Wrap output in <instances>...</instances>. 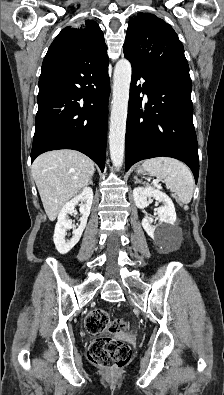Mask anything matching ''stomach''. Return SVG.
<instances>
[{
  "label": "stomach",
  "mask_w": 224,
  "mask_h": 395,
  "mask_svg": "<svg viewBox=\"0 0 224 395\" xmlns=\"http://www.w3.org/2000/svg\"><path fill=\"white\" fill-rule=\"evenodd\" d=\"M136 172H137L138 174H144L145 170H144L142 167H138L137 170H136Z\"/></svg>",
  "instance_id": "0dacf381"
}]
</instances>
